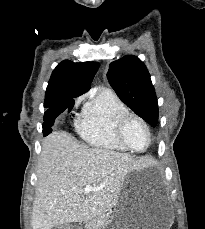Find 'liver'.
Segmentation results:
<instances>
[{
	"label": "liver",
	"instance_id": "liver-1",
	"mask_svg": "<svg viewBox=\"0 0 205 229\" xmlns=\"http://www.w3.org/2000/svg\"><path fill=\"white\" fill-rule=\"evenodd\" d=\"M140 160L120 152L89 148L63 131L45 138L37 166L32 229L88 222L116 205L123 183ZM98 190L83 195L84 186Z\"/></svg>",
	"mask_w": 205,
	"mask_h": 229
}]
</instances>
